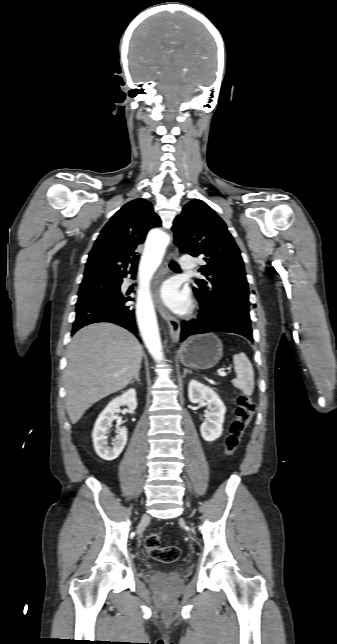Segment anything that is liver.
<instances>
[{
	"instance_id": "obj_1",
	"label": "liver",
	"mask_w": 337,
	"mask_h": 644,
	"mask_svg": "<svg viewBox=\"0 0 337 644\" xmlns=\"http://www.w3.org/2000/svg\"><path fill=\"white\" fill-rule=\"evenodd\" d=\"M143 349L129 331L111 323L79 330L67 351L66 408L72 424L94 403L126 387L139 372Z\"/></svg>"
}]
</instances>
